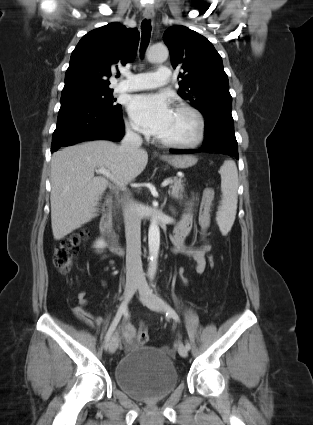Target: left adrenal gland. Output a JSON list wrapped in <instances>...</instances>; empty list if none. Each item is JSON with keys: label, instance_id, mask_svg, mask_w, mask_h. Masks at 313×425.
Instances as JSON below:
<instances>
[{"label": "left adrenal gland", "instance_id": "a2214340", "mask_svg": "<svg viewBox=\"0 0 313 425\" xmlns=\"http://www.w3.org/2000/svg\"><path fill=\"white\" fill-rule=\"evenodd\" d=\"M170 211H171V213H172L173 215H175V214H176V211H175V209H174L173 207H170Z\"/></svg>", "mask_w": 313, "mask_h": 425}]
</instances>
